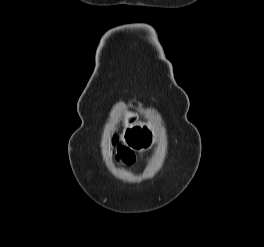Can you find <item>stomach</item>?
<instances>
[{"label":"stomach","mask_w":264,"mask_h":247,"mask_svg":"<svg viewBox=\"0 0 264 247\" xmlns=\"http://www.w3.org/2000/svg\"><path fill=\"white\" fill-rule=\"evenodd\" d=\"M157 136L156 126L153 123H135L128 117L124 118L123 141L134 150L149 149Z\"/></svg>","instance_id":"obj_1"}]
</instances>
